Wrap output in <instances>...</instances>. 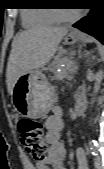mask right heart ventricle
<instances>
[{
  "label": "right heart ventricle",
  "instance_id": "1",
  "mask_svg": "<svg viewBox=\"0 0 104 169\" xmlns=\"http://www.w3.org/2000/svg\"><path fill=\"white\" fill-rule=\"evenodd\" d=\"M22 20L27 27L46 26L57 22L48 9L26 10L22 12Z\"/></svg>",
  "mask_w": 104,
  "mask_h": 169
}]
</instances>
